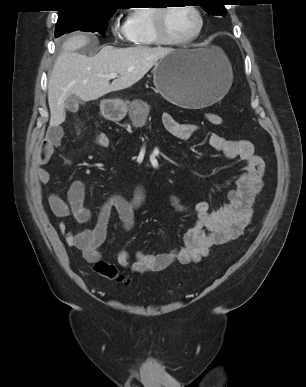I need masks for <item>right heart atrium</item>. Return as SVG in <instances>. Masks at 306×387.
Masks as SVG:
<instances>
[{
    "label": "right heart atrium",
    "mask_w": 306,
    "mask_h": 387,
    "mask_svg": "<svg viewBox=\"0 0 306 387\" xmlns=\"http://www.w3.org/2000/svg\"><path fill=\"white\" fill-rule=\"evenodd\" d=\"M111 30H112V34L114 35L115 38H117L119 40H123V39L127 38V30H126L125 24L120 25L118 23H114L112 25Z\"/></svg>",
    "instance_id": "1"
}]
</instances>
